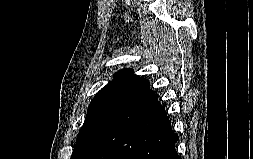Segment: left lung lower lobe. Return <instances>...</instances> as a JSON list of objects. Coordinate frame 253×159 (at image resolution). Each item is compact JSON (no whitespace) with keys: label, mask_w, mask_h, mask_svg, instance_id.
Listing matches in <instances>:
<instances>
[{"label":"left lung lower lobe","mask_w":253,"mask_h":159,"mask_svg":"<svg viewBox=\"0 0 253 159\" xmlns=\"http://www.w3.org/2000/svg\"><path fill=\"white\" fill-rule=\"evenodd\" d=\"M179 137L152 90L127 105L107 126L88 159H181Z\"/></svg>","instance_id":"0a47b994"}]
</instances>
